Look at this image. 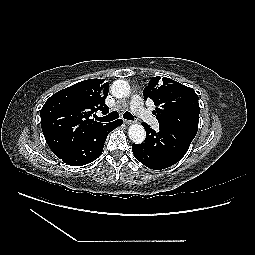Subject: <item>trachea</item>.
Wrapping results in <instances>:
<instances>
[{"label": "trachea", "mask_w": 255, "mask_h": 255, "mask_svg": "<svg viewBox=\"0 0 255 255\" xmlns=\"http://www.w3.org/2000/svg\"><path fill=\"white\" fill-rule=\"evenodd\" d=\"M118 117H119L118 112L117 111H113V112L109 113L105 117H102V118L97 117L96 120L101 121V122H111V121L117 119ZM123 117L125 119H127V120H134V116L130 112H128V111H126L123 114Z\"/></svg>", "instance_id": "trachea-1"}]
</instances>
